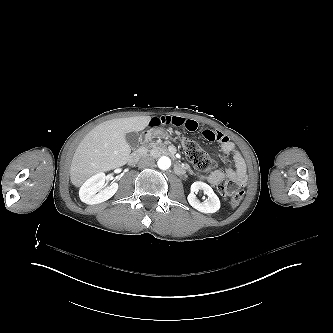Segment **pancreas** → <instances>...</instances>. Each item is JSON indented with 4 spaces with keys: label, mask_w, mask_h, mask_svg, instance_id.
<instances>
[{
    "label": "pancreas",
    "mask_w": 333,
    "mask_h": 333,
    "mask_svg": "<svg viewBox=\"0 0 333 333\" xmlns=\"http://www.w3.org/2000/svg\"><path fill=\"white\" fill-rule=\"evenodd\" d=\"M144 155L158 158L161 155H169V150L165 143L150 142L144 149Z\"/></svg>",
    "instance_id": "1"
}]
</instances>
